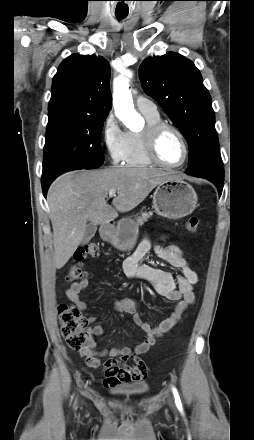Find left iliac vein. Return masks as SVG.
Wrapping results in <instances>:
<instances>
[{
	"label": "left iliac vein",
	"instance_id": "left-iliac-vein-1",
	"mask_svg": "<svg viewBox=\"0 0 254 440\" xmlns=\"http://www.w3.org/2000/svg\"><path fill=\"white\" fill-rule=\"evenodd\" d=\"M169 406H170L172 409L175 408V407H174V402H173V399H172L171 396H169Z\"/></svg>",
	"mask_w": 254,
	"mask_h": 440
}]
</instances>
